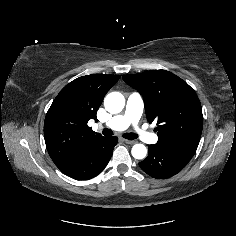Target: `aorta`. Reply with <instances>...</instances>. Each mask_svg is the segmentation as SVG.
Instances as JSON below:
<instances>
[{"label": "aorta", "instance_id": "aorta-1", "mask_svg": "<svg viewBox=\"0 0 236 236\" xmlns=\"http://www.w3.org/2000/svg\"><path fill=\"white\" fill-rule=\"evenodd\" d=\"M104 106L112 114L119 113L125 106V98L120 92H111L105 97ZM131 153L135 159H144L147 155V148L143 144H135Z\"/></svg>", "mask_w": 236, "mask_h": 236}]
</instances>
